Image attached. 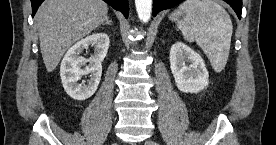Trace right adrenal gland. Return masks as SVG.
<instances>
[{
  "instance_id": "1",
  "label": "right adrenal gland",
  "mask_w": 276,
  "mask_h": 145,
  "mask_svg": "<svg viewBox=\"0 0 276 145\" xmlns=\"http://www.w3.org/2000/svg\"><path fill=\"white\" fill-rule=\"evenodd\" d=\"M104 25H112V20H110L109 18L106 19L105 23H103Z\"/></svg>"
}]
</instances>
